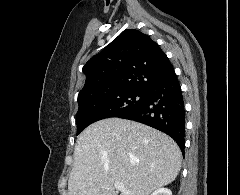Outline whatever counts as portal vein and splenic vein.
Returning a JSON list of instances; mask_svg holds the SVG:
<instances>
[{
	"instance_id": "18ae733b",
	"label": "portal vein and splenic vein",
	"mask_w": 240,
	"mask_h": 195,
	"mask_svg": "<svg viewBox=\"0 0 240 195\" xmlns=\"http://www.w3.org/2000/svg\"><path fill=\"white\" fill-rule=\"evenodd\" d=\"M114 187H116V189H120V191H126V193H129V189H125V187H124L123 183H121V181H115Z\"/></svg>"
}]
</instances>
